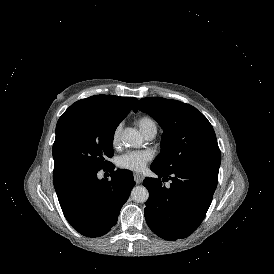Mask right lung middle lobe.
Here are the masks:
<instances>
[{
  "label": "right lung middle lobe",
  "instance_id": "dd1d6c3e",
  "mask_svg": "<svg viewBox=\"0 0 274 274\" xmlns=\"http://www.w3.org/2000/svg\"><path fill=\"white\" fill-rule=\"evenodd\" d=\"M127 114L118 109L84 110L62 120L56 127L53 174L111 167L107 158L114 154V133Z\"/></svg>",
  "mask_w": 274,
  "mask_h": 274
}]
</instances>
